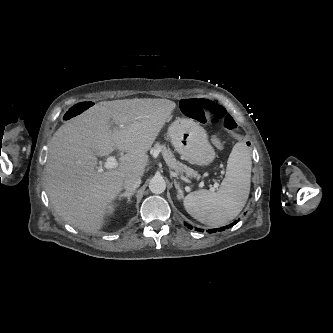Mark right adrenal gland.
Returning a JSON list of instances; mask_svg holds the SVG:
<instances>
[{"label": "right adrenal gland", "mask_w": 333, "mask_h": 333, "mask_svg": "<svg viewBox=\"0 0 333 333\" xmlns=\"http://www.w3.org/2000/svg\"><path fill=\"white\" fill-rule=\"evenodd\" d=\"M134 194V191H126L124 193H121L119 196H118V200H121L122 198H127L128 202L131 201V197L132 195Z\"/></svg>", "instance_id": "right-adrenal-gland-1"}]
</instances>
